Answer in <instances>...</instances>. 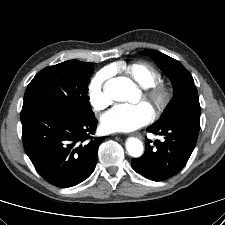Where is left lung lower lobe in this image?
<instances>
[{
	"label": "left lung lower lobe",
	"mask_w": 225,
	"mask_h": 225,
	"mask_svg": "<svg viewBox=\"0 0 225 225\" xmlns=\"http://www.w3.org/2000/svg\"><path fill=\"white\" fill-rule=\"evenodd\" d=\"M200 126L172 124L167 126H149L148 132L164 136V141L146 139L145 153L138 159H132V168L144 177L154 180H166L185 166L191 156L198 137Z\"/></svg>",
	"instance_id": "0a47b994"
}]
</instances>
